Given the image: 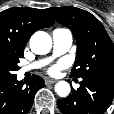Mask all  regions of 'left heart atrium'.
Masks as SVG:
<instances>
[{
	"label": "left heart atrium",
	"instance_id": "obj_1",
	"mask_svg": "<svg viewBox=\"0 0 114 114\" xmlns=\"http://www.w3.org/2000/svg\"><path fill=\"white\" fill-rule=\"evenodd\" d=\"M64 67H66V62L62 61V62H59L58 64L52 66L51 68H49L48 72L51 75H57Z\"/></svg>",
	"mask_w": 114,
	"mask_h": 114
}]
</instances>
